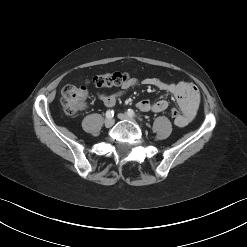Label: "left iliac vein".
<instances>
[{"label":"left iliac vein","instance_id":"left-iliac-vein-1","mask_svg":"<svg viewBox=\"0 0 247 247\" xmlns=\"http://www.w3.org/2000/svg\"><path fill=\"white\" fill-rule=\"evenodd\" d=\"M118 118L121 120H130V121H135L131 116L125 114V113H120L118 114Z\"/></svg>","mask_w":247,"mask_h":247}]
</instances>
